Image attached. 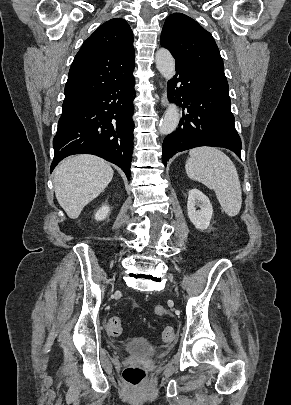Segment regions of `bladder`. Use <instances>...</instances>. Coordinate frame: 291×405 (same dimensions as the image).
<instances>
[{
    "instance_id": "1",
    "label": "bladder",
    "mask_w": 291,
    "mask_h": 405,
    "mask_svg": "<svg viewBox=\"0 0 291 405\" xmlns=\"http://www.w3.org/2000/svg\"><path fill=\"white\" fill-rule=\"evenodd\" d=\"M123 350L128 353L141 356H158L160 350L143 338H135L123 346Z\"/></svg>"
}]
</instances>
